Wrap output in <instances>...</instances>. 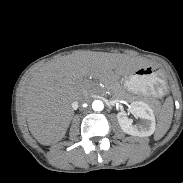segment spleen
I'll use <instances>...</instances> for the list:
<instances>
[{
	"instance_id": "obj_1",
	"label": "spleen",
	"mask_w": 183,
	"mask_h": 183,
	"mask_svg": "<svg viewBox=\"0 0 183 183\" xmlns=\"http://www.w3.org/2000/svg\"><path fill=\"white\" fill-rule=\"evenodd\" d=\"M173 117V100L167 98L160 111L156 132L154 135L155 140H160L169 130Z\"/></svg>"
}]
</instances>
